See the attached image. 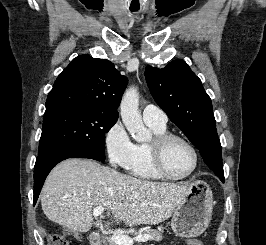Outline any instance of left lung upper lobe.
I'll return each mask as SVG.
<instances>
[{"mask_svg":"<svg viewBox=\"0 0 266 245\" xmlns=\"http://www.w3.org/2000/svg\"><path fill=\"white\" fill-rule=\"evenodd\" d=\"M145 78L156 103L200 150L209 168L224 178L212 103L200 79L183 60L163 69L147 66Z\"/></svg>","mask_w":266,"mask_h":245,"instance_id":"5c2ea615","label":"left lung upper lobe"}]
</instances>
